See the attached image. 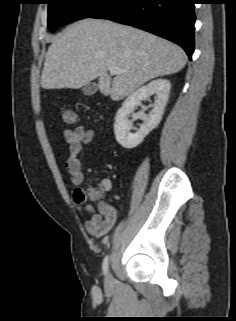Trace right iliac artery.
<instances>
[{
	"label": "right iliac artery",
	"instance_id": "right-iliac-artery-1",
	"mask_svg": "<svg viewBox=\"0 0 236 321\" xmlns=\"http://www.w3.org/2000/svg\"><path fill=\"white\" fill-rule=\"evenodd\" d=\"M108 263H109V257L106 256L104 261H103V265H102V268H103V272L104 274L107 273V270H108Z\"/></svg>",
	"mask_w": 236,
	"mask_h": 321
}]
</instances>
